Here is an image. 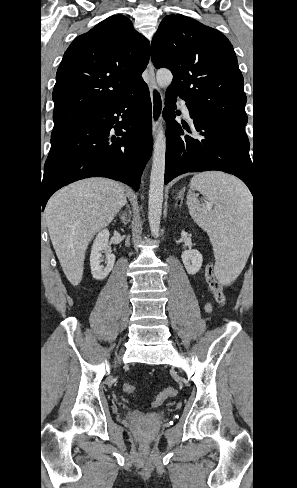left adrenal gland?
<instances>
[{
	"mask_svg": "<svg viewBox=\"0 0 297 488\" xmlns=\"http://www.w3.org/2000/svg\"><path fill=\"white\" fill-rule=\"evenodd\" d=\"M184 191H185V188H183L179 194L177 195L176 199H180V205L183 203V198H184Z\"/></svg>",
	"mask_w": 297,
	"mask_h": 488,
	"instance_id": "left-adrenal-gland-1",
	"label": "left adrenal gland"
}]
</instances>
